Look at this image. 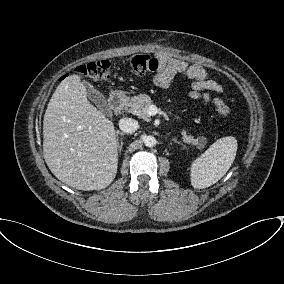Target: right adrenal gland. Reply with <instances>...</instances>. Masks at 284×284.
Segmentation results:
<instances>
[{
	"label": "right adrenal gland",
	"mask_w": 284,
	"mask_h": 284,
	"mask_svg": "<svg viewBox=\"0 0 284 284\" xmlns=\"http://www.w3.org/2000/svg\"><path fill=\"white\" fill-rule=\"evenodd\" d=\"M115 136H116V142H117L119 153H121L122 147H123V142H122V140L119 142V136H124V133L117 130Z\"/></svg>",
	"instance_id": "obj_1"
}]
</instances>
